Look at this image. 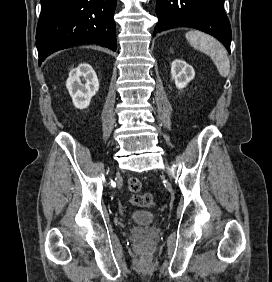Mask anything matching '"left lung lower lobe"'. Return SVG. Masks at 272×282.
<instances>
[{"instance_id": "1", "label": "left lung lower lobe", "mask_w": 272, "mask_h": 282, "mask_svg": "<svg viewBox=\"0 0 272 282\" xmlns=\"http://www.w3.org/2000/svg\"><path fill=\"white\" fill-rule=\"evenodd\" d=\"M225 0H157L156 33L175 27L199 29L217 38L230 53L231 27L224 12Z\"/></svg>"}]
</instances>
